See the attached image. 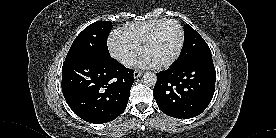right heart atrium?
Wrapping results in <instances>:
<instances>
[{
	"mask_svg": "<svg viewBox=\"0 0 276 138\" xmlns=\"http://www.w3.org/2000/svg\"><path fill=\"white\" fill-rule=\"evenodd\" d=\"M108 48L111 55L125 67H131L140 55L139 48L117 34L109 38Z\"/></svg>",
	"mask_w": 276,
	"mask_h": 138,
	"instance_id": "right-heart-atrium-1",
	"label": "right heart atrium"
}]
</instances>
